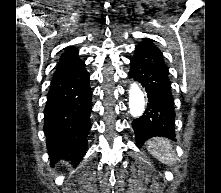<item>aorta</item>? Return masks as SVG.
<instances>
[{
  "label": "aorta",
  "instance_id": "1",
  "mask_svg": "<svg viewBox=\"0 0 221 193\" xmlns=\"http://www.w3.org/2000/svg\"><path fill=\"white\" fill-rule=\"evenodd\" d=\"M129 109L133 117H139L145 110V97L140 87L133 83L129 90Z\"/></svg>",
  "mask_w": 221,
  "mask_h": 193
}]
</instances>
